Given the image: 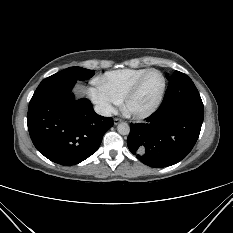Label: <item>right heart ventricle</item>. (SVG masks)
Here are the masks:
<instances>
[{
    "instance_id": "right-heart-ventricle-1",
    "label": "right heart ventricle",
    "mask_w": 233,
    "mask_h": 233,
    "mask_svg": "<svg viewBox=\"0 0 233 233\" xmlns=\"http://www.w3.org/2000/svg\"><path fill=\"white\" fill-rule=\"evenodd\" d=\"M147 68H126L106 72L96 82L106 89L119 102Z\"/></svg>"
}]
</instances>
